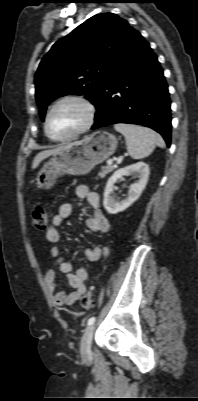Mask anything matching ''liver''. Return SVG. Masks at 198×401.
<instances>
[{"label": "liver", "instance_id": "obj_1", "mask_svg": "<svg viewBox=\"0 0 198 401\" xmlns=\"http://www.w3.org/2000/svg\"><path fill=\"white\" fill-rule=\"evenodd\" d=\"M63 148V146H59L56 147L54 149H50V150H44L39 152L36 157L33 160L32 163V169H35L38 167V165L41 163V161H43L44 159H46L47 157L51 156V155H55L56 153H58L61 149Z\"/></svg>", "mask_w": 198, "mask_h": 401}]
</instances>
